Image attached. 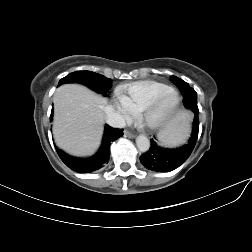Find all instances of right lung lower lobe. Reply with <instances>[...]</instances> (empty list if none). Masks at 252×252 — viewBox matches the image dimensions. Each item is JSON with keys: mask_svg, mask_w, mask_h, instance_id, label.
Wrapping results in <instances>:
<instances>
[{"mask_svg": "<svg viewBox=\"0 0 252 252\" xmlns=\"http://www.w3.org/2000/svg\"><path fill=\"white\" fill-rule=\"evenodd\" d=\"M53 117V109L50 116V122ZM123 135V130L118 128H113L109 125L105 126V131L103 135L102 145L98 152L87 159L74 158L67 155L62 150L56 147V151L61 158V160L72 170L79 173H90L102 168L108 163L110 155V145L113 141L117 140Z\"/></svg>", "mask_w": 252, "mask_h": 252, "instance_id": "obj_1", "label": "right lung lower lobe"}]
</instances>
